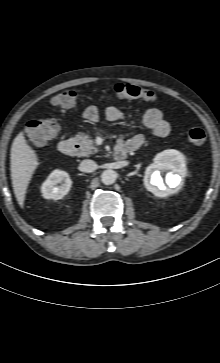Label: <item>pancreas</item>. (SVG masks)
<instances>
[{"label": "pancreas", "instance_id": "cf45deb5", "mask_svg": "<svg viewBox=\"0 0 220 363\" xmlns=\"http://www.w3.org/2000/svg\"><path fill=\"white\" fill-rule=\"evenodd\" d=\"M74 140L79 144L82 156L88 157L98 151L95 143L89 135L78 134Z\"/></svg>", "mask_w": 220, "mask_h": 363}]
</instances>
